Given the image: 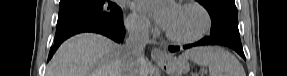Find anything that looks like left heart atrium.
<instances>
[{
  "label": "left heart atrium",
  "mask_w": 287,
  "mask_h": 76,
  "mask_svg": "<svg viewBox=\"0 0 287 76\" xmlns=\"http://www.w3.org/2000/svg\"><path fill=\"white\" fill-rule=\"evenodd\" d=\"M136 8L154 17L157 23L167 28L173 20L178 7L172 1L140 0L136 2Z\"/></svg>",
  "instance_id": "left-heart-atrium-1"
}]
</instances>
